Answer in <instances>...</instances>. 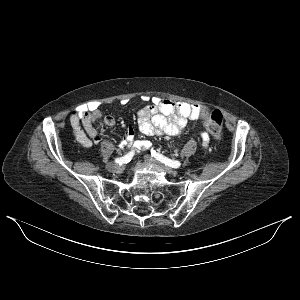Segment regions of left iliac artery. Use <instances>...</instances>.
<instances>
[{
  "label": "left iliac artery",
  "mask_w": 300,
  "mask_h": 300,
  "mask_svg": "<svg viewBox=\"0 0 300 300\" xmlns=\"http://www.w3.org/2000/svg\"><path fill=\"white\" fill-rule=\"evenodd\" d=\"M151 155L154 156L157 160H159L160 162L164 163L165 165H168L172 168H178L180 167L181 163L177 160H171L165 156H163L160 153H157L155 150H151Z\"/></svg>",
  "instance_id": "44dca946"
}]
</instances>
